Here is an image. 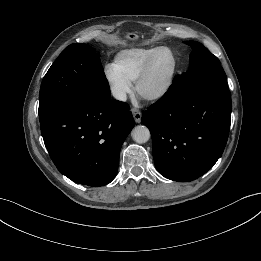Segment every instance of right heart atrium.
Instances as JSON below:
<instances>
[{
    "label": "right heart atrium",
    "instance_id": "obj_1",
    "mask_svg": "<svg viewBox=\"0 0 261 261\" xmlns=\"http://www.w3.org/2000/svg\"><path fill=\"white\" fill-rule=\"evenodd\" d=\"M103 72L111 94L117 100L124 101L132 92L131 82L117 71L113 63L106 64Z\"/></svg>",
    "mask_w": 261,
    "mask_h": 261
}]
</instances>
